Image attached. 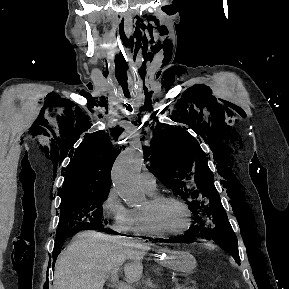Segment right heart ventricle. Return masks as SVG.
Listing matches in <instances>:
<instances>
[{"label": "right heart ventricle", "instance_id": "1", "mask_svg": "<svg viewBox=\"0 0 289 289\" xmlns=\"http://www.w3.org/2000/svg\"><path fill=\"white\" fill-rule=\"evenodd\" d=\"M149 195L153 196L154 194ZM131 215H132V232L134 234L139 236H155L148 231L139 209H132Z\"/></svg>", "mask_w": 289, "mask_h": 289}]
</instances>
